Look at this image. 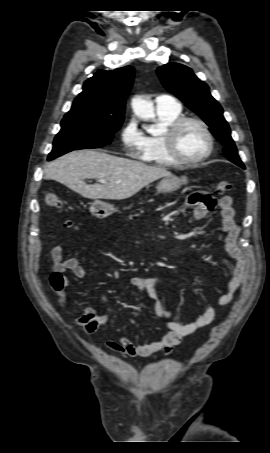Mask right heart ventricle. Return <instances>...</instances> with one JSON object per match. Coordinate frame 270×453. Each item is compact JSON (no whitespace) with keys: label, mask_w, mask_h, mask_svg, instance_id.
<instances>
[{"label":"right heart ventricle","mask_w":270,"mask_h":453,"mask_svg":"<svg viewBox=\"0 0 270 453\" xmlns=\"http://www.w3.org/2000/svg\"><path fill=\"white\" fill-rule=\"evenodd\" d=\"M181 116V109L176 111L158 112V122L163 130L174 120ZM162 133L159 135L146 136L144 149L138 156L142 162L159 166H177L165 152L162 144Z\"/></svg>","instance_id":"1"}]
</instances>
